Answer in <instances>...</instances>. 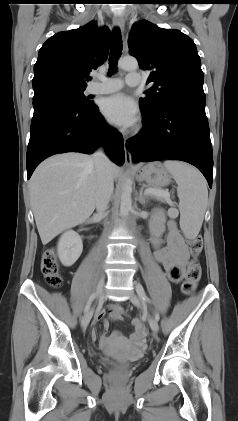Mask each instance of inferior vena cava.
Masks as SVG:
<instances>
[{
  "label": "inferior vena cava",
  "instance_id": "602c4592",
  "mask_svg": "<svg viewBox=\"0 0 238 421\" xmlns=\"http://www.w3.org/2000/svg\"><path fill=\"white\" fill-rule=\"evenodd\" d=\"M92 161L97 174L96 210L98 215H103L114 189L113 174L110 160L102 149L94 152Z\"/></svg>",
  "mask_w": 238,
  "mask_h": 421
}]
</instances>
